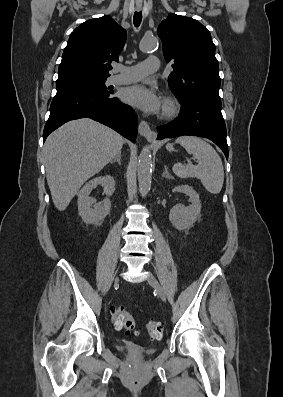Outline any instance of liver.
Instances as JSON below:
<instances>
[{
    "mask_svg": "<svg viewBox=\"0 0 283 397\" xmlns=\"http://www.w3.org/2000/svg\"><path fill=\"white\" fill-rule=\"evenodd\" d=\"M124 139L89 118L67 122L51 133L43 147L52 200L64 211L80 187L121 152Z\"/></svg>",
    "mask_w": 283,
    "mask_h": 397,
    "instance_id": "obj_1",
    "label": "liver"
}]
</instances>
